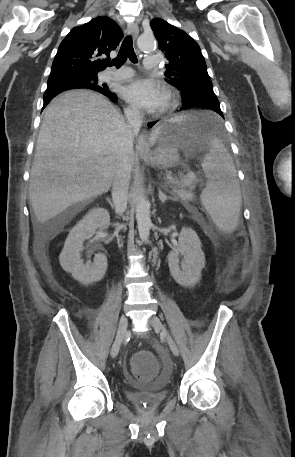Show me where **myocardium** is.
Segmentation results:
<instances>
[{
  "mask_svg": "<svg viewBox=\"0 0 295 457\" xmlns=\"http://www.w3.org/2000/svg\"><path fill=\"white\" fill-rule=\"evenodd\" d=\"M165 99L162 104L159 113H167L174 110L179 104L178 93L171 87H165L164 89Z\"/></svg>",
  "mask_w": 295,
  "mask_h": 457,
  "instance_id": "f54148a6",
  "label": "myocardium"
}]
</instances>
